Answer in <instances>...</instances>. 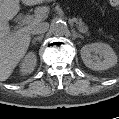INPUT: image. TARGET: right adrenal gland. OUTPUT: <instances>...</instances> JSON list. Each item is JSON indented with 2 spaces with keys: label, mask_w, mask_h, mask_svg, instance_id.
Instances as JSON below:
<instances>
[{
  "label": "right adrenal gland",
  "mask_w": 119,
  "mask_h": 119,
  "mask_svg": "<svg viewBox=\"0 0 119 119\" xmlns=\"http://www.w3.org/2000/svg\"><path fill=\"white\" fill-rule=\"evenodd\" d=\"M42 38H43V35L38 36V37H35V38L33 39L32 43L35 44V42H36L37 40L41 41Z\"/></svg>",
  "instance_id": "obj_1"
}]
</instances>
